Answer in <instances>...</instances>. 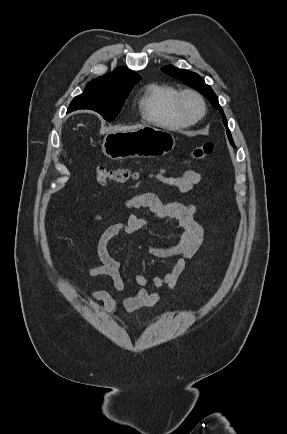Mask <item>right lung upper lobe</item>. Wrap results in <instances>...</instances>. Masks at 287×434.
<instances>
[{"label":"right lung upper lobe","mask_w":287,"mask_h":434,"mask_svg":"<svg viewBox=\"0 0 287 434\" xmlns=\"http://www.w3.org/2000/svg\"><path fill=\"white\" fill-rule=\"evenodd\" d=\"M141 77L135 72L129 70L126 67H118L110 74L103 77H98L93 81H106L112 83H127L139 81Z\"/></svg>","instance_id":"obj_1"}]
</instances>
